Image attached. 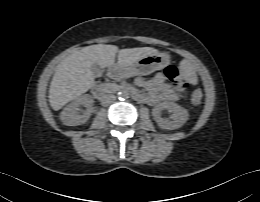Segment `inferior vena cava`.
<instances>
[{"label":"inferior vena cava","instance_id":"obj_1","mask_svg":"<svg viewBox=\"0 0 260 202\" xmlns=\"http://www.w3.org/2000/svg\"><path fill=\"white\" fill-rule=\"evenodd\" d=\"M116 100V96L113 94H106L104 96H102L101 98V104L103 106H108L110 104H112L113 102H115Z\"/></svg>","mask_w":260,"mask_h":202}]
</instances>
